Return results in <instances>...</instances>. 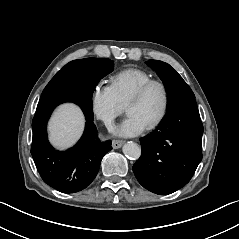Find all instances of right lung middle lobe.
I'll list each match as a JSON object with an SVG mask.
<instances>
[{
	"instance_id": "obj_1",
	"label": "right lung middle lobe",
	"mask_w": 239,
	"mask_h": 239,
	"mask_svg": "<svg viewBox=\"0 0 239 239\" xmlns=\"http://www.w3.org/2000/svg\"><path fill=\"white\" fill-rule=\"evenodd\" d=\"M113 67V61L106 58H85L71 61L47 84L40 101L72 90H83L92 95L100 79L112 72Z\"/></svg>"
}]
</instances>
